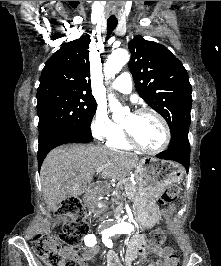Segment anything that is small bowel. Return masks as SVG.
Returning a JSON list of instances; mask_svg holds the SVG:
<instances>
[{
	"mask_svg": "<svg viewBox=\"0 0 221 266\" xmlns=\"http://www.w3.org/2000/svg\"><path fill=\"white\" fill-rule=\"evenodd\" d=\"M171 212L172 209L169 208L166 210ZM60 221H65L66 218L60 217ZM145 238L143 234L135 233L132 234L130 240L127 244L125 251V264L126 266H132L134 261L139 257L145 255ZM89 247V246H88ZM98 251V247L86 248L82 254L79 256L77 253L72 251H67L66 257L73 261L76 266H88V261H91L95 258ZM171 247H161L155 250L157 259L151 261L148 266H167V259L170 253H173ZM106 264L107 266H122L118 256L114 252H108L106 254Z\"/></svg>",
	"mask_w": 221,
	"mask_h": 266,
	"instance_id": "1",
	"label": "small bowel"
}]
</instances>
